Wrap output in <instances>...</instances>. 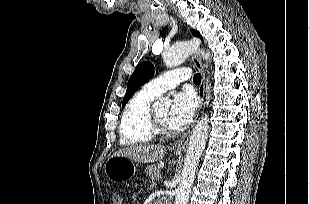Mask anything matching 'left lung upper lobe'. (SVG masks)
Returning a JSON list of instances; mask_svg holds the SVG:
<instances>
[{
    "label": "left lung upper lobe",
    "mask_w": 309,
    "mask_h": 204,
    "mask_svg": "<svg viewBox=\"0 0 309 204\" xmlns=\"http://www.w3.org/2000/svg\"><path fill=\"white\" fill-rule=\"evenodd\" d=\"M192 34L196 37L202 36L196 30H191ZM154 74V67L150 62H143L139 64L135 71L133 72L132 76L130 77L127 83V92L124 96V101L122 105L124 106L126 102L132 97V95L139 89V87L147 82Z\"/></svg>",
    "instance_id": "5c2ea615"
}]
</instances>
